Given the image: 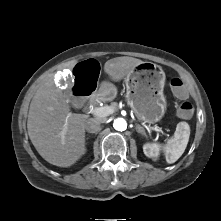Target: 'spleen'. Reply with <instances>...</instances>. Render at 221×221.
<instances>
[{
    "mask_svg": "<svg viewBox=\"0 0 221 221\" xmlns=\"http://www.w3.org/2000/svg\"><path fill=\"white\" fill-rule=\"evenodd\" d=\"M190 136V127L186 122H179L174 136L163 147L167 163H175L184 153Z\"/></svg>",
    "mask_w": 221,
    "mask_h": 221,
    "instance_id": "3e777b00",
    "label": "spleen"
}]
</instances>
